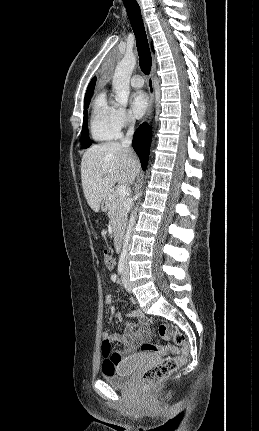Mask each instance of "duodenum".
<instances>
[{
    "instance_id": "1",
    "label": "duodenum",
    "mask_w": 259,
    "mask_h": 431,
    "mask_svg": "<svg viewBox=\"0 0 259 431\" xmlns=\"http://www.w3.org/2000/svg\"><path fill=\"white\" fill-rule=\"evenodd\" d=\"M114 245H115V250L117 252H120L122 247V236L120 232H116L115 234Z\"/></svg>"
}]
</instances>
